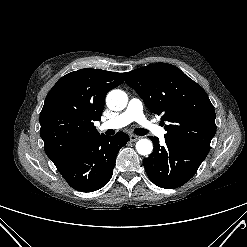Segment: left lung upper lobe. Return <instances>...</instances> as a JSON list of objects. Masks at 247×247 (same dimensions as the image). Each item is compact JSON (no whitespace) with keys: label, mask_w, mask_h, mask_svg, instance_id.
I'll return each mask as SVG.
<instances>
[{"label":"left lung upper lobe","mask_w":247,"mask_h":247,"mask_svg":"<svg viewBox=\"0 0 247 247\" xmlns=\"http://www.w3.org/2000/svg\"><path fill=\"white\" fill-rule=\"evenodd\" d=\"M148 109L161 115L165 140L208 154L216 133L215 110L203 88L179 68L156 63L122 74Z\"/></svg>","instance_id":"left-lung-upper-lobe-1"}]
</instances>
